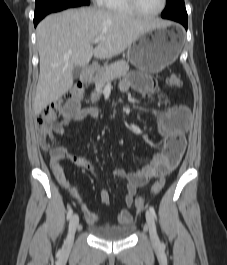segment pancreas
I'll use <instances>...</instances> for the list:
<instances>
[{"label": "pancreas", "mask_w": 227, "mask_h": 265, "mask_svg": "<svg viewBox=\"0 0 227 265\" xmlns=\"http://www.w3.org/2000/svg\"><path fill=\"white\" fill-rule=\"evenodd\" d=\"M129 71V64L125 60L116 61L110 65H105L96 81V92L92 95L93 99L97 98L103 86L111 80L125 76Z\"/></svg>", "instance_id": "pancreas-1"}]
</instances>
